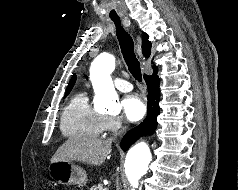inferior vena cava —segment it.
<instances>
[{"mask_svg": "<svg viewBox=\"0 0 238 190\" xmlns=\"http://www.w3.org/2000/svg\"><path fill=\"white\" fill-rule=\"evenodd\" d=\"M125 129H126L125 127H122L120 132L125 131ZM110 140L112 141V139H110Z\"/></svg>", "mask_w": 238, "mask_h": 190, "instance_id": "602c4592", "label": "inferior vena cava"}]
</instances>
